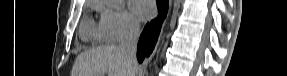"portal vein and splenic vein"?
<instances>
[{"label":"portal vein and splenic vein","mask_w":287,"mask_h":76,"mask_svg":"<svg viewBox=\"0 0 287 76\" xmlns=\"http://www.w3.org/2000/svg\"><path fill=\"white\" fill-rule=\"evenodd\" d=\"M109 76H113L112 74H108Z\"/></svg>","instance_id":"18ae733b"}]
</instances>
